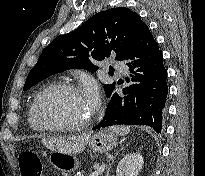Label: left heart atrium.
Listing matches in <instances>:
<instances>
[{"label":"left heart atrium","mask_w":205,"mask_h":176,"mask_svg":"<svg viewBox=\"0 0 205 176\" xmlns=\"http://www.w3.org/2000/svg\"><path fill=\"white\" fill-rule=\"evenodd\" d=\"M84 98L91 109H95L99 104V95L93 86H87L84 92Z\"/></svg>","instance_id":"obj_1"}]
</instances>
